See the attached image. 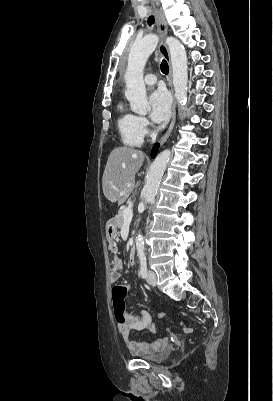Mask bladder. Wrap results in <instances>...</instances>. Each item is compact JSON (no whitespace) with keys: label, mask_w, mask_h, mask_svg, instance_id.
<instances>
[{"label":"bladder","mask_w":273,"mask_h":401,"mask_svg":"<svg viewBox=\"0 0 273 401\" xmlns=\"http://www.w3.org/2000/svg\"><path fill=\"white\" fill-rule=\"evenodd\" d=\"M172 354V347L166 346L162 350L151 355H137L139 359L145 360L150 363H159L170 357Z\"/></svg>","instance_id":"bladder-1"}]
</instances>
